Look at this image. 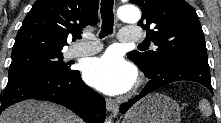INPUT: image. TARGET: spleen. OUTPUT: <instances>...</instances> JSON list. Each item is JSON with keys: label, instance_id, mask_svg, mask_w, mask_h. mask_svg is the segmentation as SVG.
I'll list each match as a JSON object with an SVG mask.
<instances>
[{"label": "spleen", "instance_id": "spleen-1", "mask_svg": "<svg viewBox=\"0 0 221 123\" xmlns=\"http://www.w3.org/2000/svg\"><path fill=\"white\" fill-rule=\"evenodd\" d=\"M199 109L203 113V116L208 117L212 114V110L210 105L208 104L207 100L202 99L199 102Z\"/></svg>", "mask_w": 221, "mask_h": 123}]
</instances>
